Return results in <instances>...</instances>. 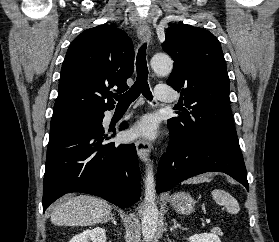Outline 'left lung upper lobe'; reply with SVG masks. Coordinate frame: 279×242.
I'll return each instance as SVG.
<instances>
[{"label":"left lung upper lobe","mask_w":279,"mask_h":242,"mask_svg":"<svg viewBox=\"0 0 279 242\" xmlns=\"http://www.w3.org/2000/svg\"><path fill=\"white\" fill-rule=\"evenodd\" d=\"M162 46L174 60L167 84L181 93L183 111L168 120L169 129L187 145L213 141L239 149L218 39L205 29L179 24L168 28Z\"/></svg>","instance_id":"left-lung-upper-lobe-1"}]
</instances>
